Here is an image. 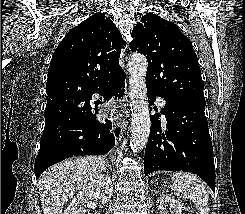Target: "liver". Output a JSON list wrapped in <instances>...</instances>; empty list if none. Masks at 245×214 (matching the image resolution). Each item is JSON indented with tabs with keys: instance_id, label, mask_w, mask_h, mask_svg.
I'll use <instances>...</instances> for the list:
<instances>
[{
	"instance_id": "obj_1",
	"label": "liver",
	"mask_w": 245,
	"mask_h": 214,
	"mask_svg": "<svg viewBox=\"0 0 245 214\" xmlns=\"http://www.w3.org/2000/svg\"><path fill=\"white\" fill-rule=\"evenodd\" d=\"M106 169L103 157L68 159L47 169L38 181L43 214H62L63 205Z\"/></svg>"
}]
</instances>
